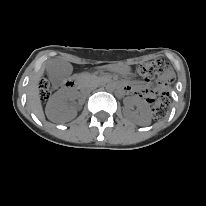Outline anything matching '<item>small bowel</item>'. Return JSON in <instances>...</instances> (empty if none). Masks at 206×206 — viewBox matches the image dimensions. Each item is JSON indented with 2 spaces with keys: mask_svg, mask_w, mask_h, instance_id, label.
Segmentation results:
<instances>
[{
  "mask_svg": "<svg viewBox=\"0 0 206 206\" xmlns=\"http://www.w3.org/2000/svg\"><path fill=\"white\" fill-rule=\"evenodd\" d=\"M126 90H130V87H126ZM149 95V94H148Z\"/></svg>",
  "mask_w": 206,
  "mask_h": 206,
  "instance_id": "1",
  "label": "small bowel"
}]
</instances>
